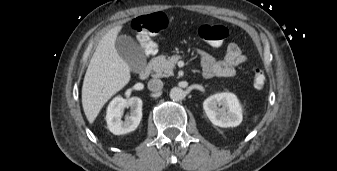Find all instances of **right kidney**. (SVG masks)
<instances>
[{
	"instance_id": "ca27d5eb",
	"label": "right kidney",
	"mask_w": 337,
	"mask_h": 171,
	"mask_svg": "<svg viewBox=\"0 0 337 171\" xmlns=\"http://www.w3.org/2000/svg\"><path fill=\"white\" fill-rule=\"evenodd\" d=\"M130 107V113L126 115L125 121L122 116L125 108ZM142 118V100L138 97L123 99L115 97L107 108L106 121L108 129L115 135H123L134 131Z\"/></svg>"
}]
</instances>
